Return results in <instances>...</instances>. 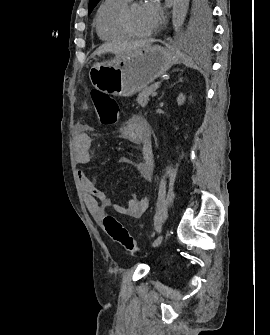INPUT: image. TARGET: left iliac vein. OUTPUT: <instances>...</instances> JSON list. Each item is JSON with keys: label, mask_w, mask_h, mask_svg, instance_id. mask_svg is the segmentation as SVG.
Instances as JSON below:
<instances>
[{"label": "left iliac vein", "mask_w": 270, "mask_h": 335, "mask_svg": "<svg viewBox=\"0 0 270 335\" xmlns=\"http://www.w3.org/2000/svg\"><path fill=\"white\" fill-rule=\"evenodd\" d=\"M164 236L160 235L152 244L153 247H157L161 244V242L163 241Z\"/></svg>", "instance_id": "obj_1"}]
</instances>
